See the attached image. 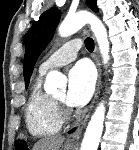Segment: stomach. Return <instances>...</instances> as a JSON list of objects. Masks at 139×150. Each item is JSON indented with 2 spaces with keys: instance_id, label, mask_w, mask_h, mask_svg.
<instances>
[{
  "instance_id": "obj_1",
  "label": "stomach",
  "mask_w": 139,
  "mask_h": 150,
  "mask_svg": "<svg viewBox=\"0 0 139 150\" xmlns=\"http://www.w3.org/2000/svg\"><path fill=\"white\" fill-rule=\"evenodd\" d=\"M64 150H73L71 146L65 145Z\"/></svg>"
}]
</instances>
